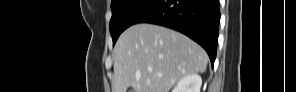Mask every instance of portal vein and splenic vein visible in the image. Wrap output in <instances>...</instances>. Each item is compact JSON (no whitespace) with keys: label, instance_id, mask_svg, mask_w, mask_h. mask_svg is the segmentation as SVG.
<instances>
[{"label":"portal vein and splenic vein","instance_id":"portal-vein-and-splenic-vein-1","mask_svg":"<svg viewBox=\"0 0 296 92\" xmlns=\"http://www.w3.org/2000/svg\"><path fill=\"white\" fill-rule=\"evenodd\" d=\"M148 71H149V72H151V71H152V69H151V68H149V69H148ZM158 75H159V76H161L160 74H158Z\"/></svg>","mask_w":296,"mask_h":92}]
</instances>
